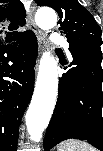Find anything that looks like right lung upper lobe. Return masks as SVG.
Instances as JSON below:
<instances>
[{"mask_svg": "<svg viewBox=\"0 0 103 151\" xmlns=\"http://www.w3.org/2000/svg\"><path fill=\"white\" fill-rule=\"evenodd\" d=\"M25 11L19 0L0 1V46L17 41L24 33L15 31L25 24Z\"/></svg>", "mask_w": 103, "mask_h": 151, "instance_id": "obj_1", "label": "right lung upper lobe"}]
</instances>
